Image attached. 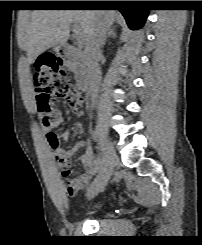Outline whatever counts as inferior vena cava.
Listing matches in <instances>:
<instances>
[{
    "label": "inferior vena cava",
    "instance_id": "inferior-vena-cava-1",
    "mask_svg": "<svg viewBox=\"0 0 202 245\" xmlns=\"http://www.w3.org/2000/svg\"><path fill=\"white\" fill-rule=\"evenodd\" d=\"M108 30L109 24L107 19L99 15L84 50L85 58L89 66V75L91 79L92 105H95L97 103L99 87L102 78L101 68L98 61L102 56L101 47L103 46Z\"/></svg>",
    "mask_w": 202,
    "mask_h": 245
}]
</instances>
